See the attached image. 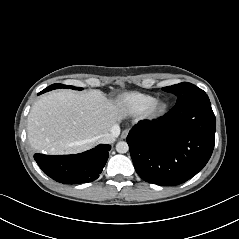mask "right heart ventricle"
I'll return each mask as SVG.
<instances>
[{"mask_svg":"<svg viewBox=\"0 0 239 239\" xmlns=\"http://www.w3.org/2000/svg\"><path fill=\"white\" fill-rule=\"evenodd\" d=\"M154 99L152 95L130 92L121 97L122 106L131 114L143 113L148 104Z\"/></svg>","mask_w":239,"mask_h":239,"instance_id":"e07e8e85","label":"right heart ventricle"}]
</instances>
